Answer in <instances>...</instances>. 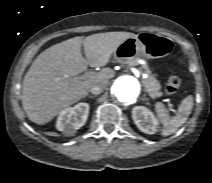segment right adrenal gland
<instances>
[{
	"mask_svg": "<svg viewBox=\"0 0 212 183\" xmlns=\"http://www.w3.org/2000/svg\"><path fill=\"white\" fill-rule=\"evenodd\" d=\"M95 97H96V96H92V95H91V96H89V98H95Z\"/></svg>",
	"mask_w": 212,
	"mask_h": 183,
	"instance_id": "2a0ac1e0",
	"label": "right adrenal gland"
}]
</instances>
